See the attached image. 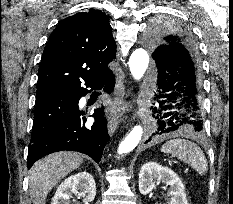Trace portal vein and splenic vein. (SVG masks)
<instances>
[{"instance_id":"18ae733b","label":"portal vein and splenic vein","mask_w":233,"mask_h":204,"mask_svg":"<svg viewBox=\"0 0 233 204\" xmlns=\"http://www.w3.org/2000/svg\"><path fill=\"white\" fill-rule=\"evenodd\" d=\"M185 170H186V171H189V168L187 167Z\"/></svg>"}]
</instances>
